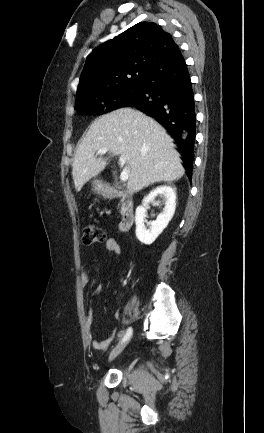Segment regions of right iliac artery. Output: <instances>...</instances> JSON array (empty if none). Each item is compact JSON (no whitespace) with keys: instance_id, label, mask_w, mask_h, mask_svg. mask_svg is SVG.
Here are the masks:
<instances>
[{"instance_id":"82829eb1","label":"right iliac artery","mask_w":264,"mask_h":433,"mask_svg":"<svg viewBox=\"0 0 264 433\" xmlns=\"http://www.w3.org/2000/svg\"><path fill=\"white\" fill-rule=\"evenodd\" d=\"M131 335H132V328L129 327L121 342H125L126 340H128L131 337Z\"/></svg>"}]
</instances>
